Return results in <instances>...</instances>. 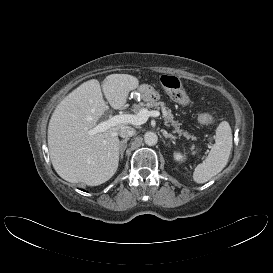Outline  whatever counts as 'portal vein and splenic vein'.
<instances>
[{
  "mask_svg": "<svg viewBox=\"0 0 273 273\" xmlns=\"http://www.w3.org/2000/svg\"><path fill=\"white\" fill-rule=\"evenodd\" d=\"M160 115L159 111H148L147 109H142L136 115L133 114H120L115 115L89 130L90 135H95L96 133L104 132L112 126H116L121 123L133 124V125H141L144 124L148 118L158 117Z\"/></svg>",
  "mask_w": 273,
  "mask_h": 273,
  "instance_id": "portal-vein-and-splenic-vein-1",
  "label": "portal vein and splenic vein"
}]
</instances>
